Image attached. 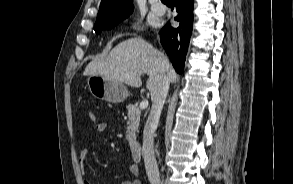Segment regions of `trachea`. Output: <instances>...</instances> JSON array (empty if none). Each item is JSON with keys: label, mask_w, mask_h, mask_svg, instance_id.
<instances>
[{"label": "trachea", "mask_w": 293, "mask_h": 184, "mask_svg": "<svg viewBox=\"0 0 293 184\" xmlns=\"http://www.w3.org/2000/svg\"><path fill=\"white\" fill-rule=\"evenodd\" d=\"M162 3H171V0H161Z\"/></svg>", "instance_id": "obj_1"}]
</instances>
